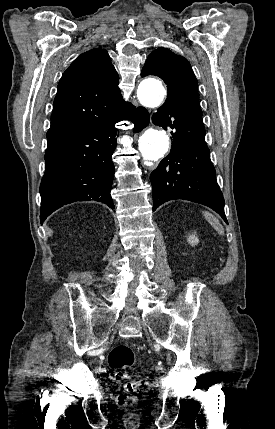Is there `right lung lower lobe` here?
Instances as JSON below:
<instances>
[{"mask_svg":"<svg viewBox=\"0 0 275 429\" xmlns=\"http://www.w3.org/2000/svg\"><path fill=\"white\" fill-rule=\"evenodd\" d=\"M129 119L139 132L149 123V114L127 103L112 120L82 127L49 139L46 169L40 185L41 223L55 210L76 201L95 200L114 209L110 195L114 178L111 156L116 148L115 124Z\"/></svg>","mask_w":275,"mask_h":429,"instance_id":"obj_1","label":"right lung lower lobe"}]
</instances>
